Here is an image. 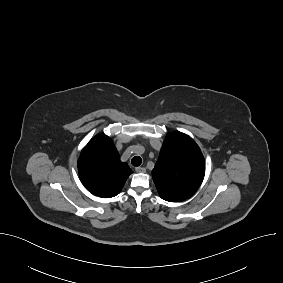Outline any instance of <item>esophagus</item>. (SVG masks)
<instances>
[{"label": "esophagus", "mask_w": 283, "mask_h": 283, "mask_svg": "<svg viewBox=\"0 0 283 283\" xmlns=\"http://www.w3.org/2000/svg\"><path fill=\"white\" fill-rule=\"evenodd\" d=\"M135 171H136L137 173H144V172L146 171V169H145L144 167H136V168H135Z\"/></svg>", "instance_id": "1"}]
</instances>
